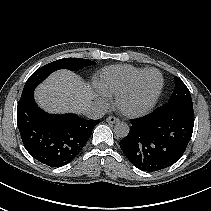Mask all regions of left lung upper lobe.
<instances>
[{"instance_id":"1","label":"left lung upper lobe","mask_w":211,"mask_h":211,"mask_svg":"<svg viewBox=\"0 0 211 211\" xmlns=\"http://www.w3.org/2000/svg\"><path fill=\"white\" fill-rule=\"evenodd\" d=\"M175 88L174 91L168 101L165 105L157 108L159 112H184L189 115L194 114L193 111V103L191 94L186 87V85L183 83V81L175 77Z\"/></svg>"}]
</instances>
